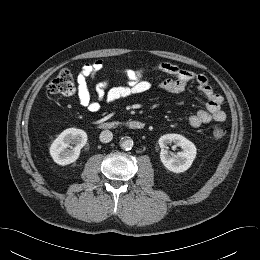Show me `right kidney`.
<instances>
[{
  "instance_id": "right-kidney-1",
  "label": "right kidney",
  "mask_w": 260,
  "mask_h": 260,
  "mask_svg": "<svg viewBox=\"0 0 260 260\" xmlns=\"http://www.w3.org/2000/svg\"><path fill=\"white\" fill-rule=\"evenodd\" d=\"M86 143L87 134L84 130L68 128L53 141L49 149L50 155L57 164L68 165L79 158Z\"/></svg>"
}]
</instances>
